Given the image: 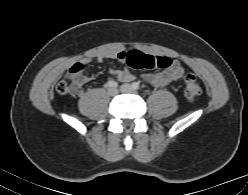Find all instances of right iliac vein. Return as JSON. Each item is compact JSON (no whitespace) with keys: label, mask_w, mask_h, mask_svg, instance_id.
<instances>
[{"label":"right iliac vein","mask_w":248,"mask_h":195,"mask_svg":"<svg viewBox=\"0 0 248 195\" xmlns=\"http://www.w3.org/2000/svg\"><path fill=\"white\" fill-rule=\"evenodd\" d=\"M108 94L110 96H116L118 94V89L115 87H111L108 89Z\"/></svg>","instance_id":"obj_1"}]
</instances>
